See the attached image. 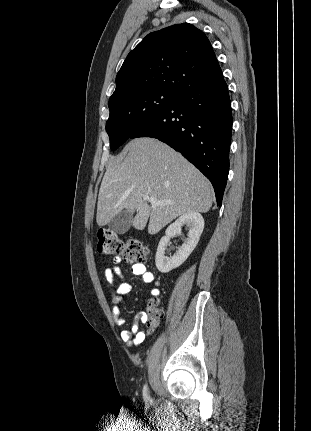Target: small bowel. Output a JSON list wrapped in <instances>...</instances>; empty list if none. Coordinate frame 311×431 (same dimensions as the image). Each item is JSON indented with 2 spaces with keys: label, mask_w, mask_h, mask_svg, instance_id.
Returning a JSON list of instances; mask_svg holds the SVG:
<instances>
[{
  "label": "small bowel",
  "mask_w": 311,
  "mask_h": 431,
  "mask_svg": "<svg viewBox=\"0 0 311 431\" xmlns=\"http://www.w3.org/2000/svg\"><path fill=\"white\" fill-rule=\"evenodd\" d=\"M120 262L121 259L119 257L114 258L113 266L105 269L104 276L112 292L113 315L116 323L119 326H125L126 320L120 316V302L124 296L132 291V286L124 281V274L119 266ZM130 272L133 275L140 276L145 283H154L155 278L153 273H151L144 264H133L130 268ZM151 295L157 297L159 295V290L156 287L153 288L151 290ZM138 320L144 321L145 314L140 313ZM120 335L127 345L139 344L145 338V333L139 330L137 324H134L130 329H123Z\"/></svg>",
  "instance_id": "obj_1"
}]
</instances>
